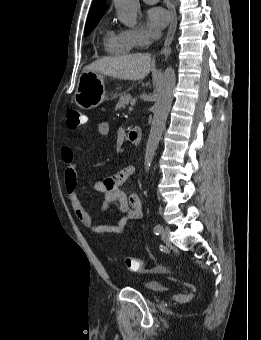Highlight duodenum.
I'll list each match as a JSON object with an SVG mask.
<instances>
[{"label": "duodenum", "instance_id": "1", "mask_svg": "<svg viewBox=\"0 0 261 340\" xmlns=\"http://www.w3.org/2000/svg\"><path fill=\"white\" fill-rule=\"evenodd\" d=\"M142 132L138 127L131 128L129 130V140L134 145H139L141 142Z\"/></svg>", "mask_w": 261, "mask_h": 340}]
</instances>
